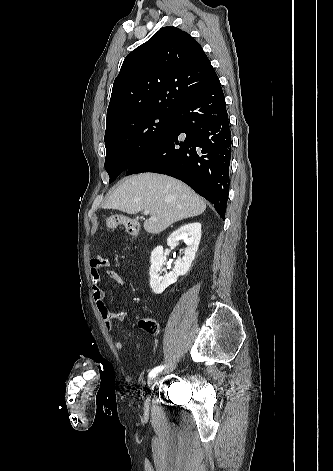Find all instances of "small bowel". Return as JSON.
Segmentation results:
<instances>
[{"label":"small bowel","mask_w":333,"mask_h":471,"mask_svg":"<svg viewBox=\"0 0 333 471\" xmlns=\"http://www.w3.org/2000/svg\"><path fill=\"white\" fill-rule=\"evenodd\" d=\"M111 264V260L107 257L97 256L90 260V277L92 281V295L97 309L102 317L104 325L108 331L112 330L115 321H122L127 316V310L123 309L118 312H112L105 304L104 291L100 286L101 274L100 270L106 268ZM107 276L113 279L118 284L125 286V278L117 271L107 270ZM115 346L118 350H124V345L121 341H116Z\"/></svg>","instance_id":"small-bowel-1"}]
</instances>
